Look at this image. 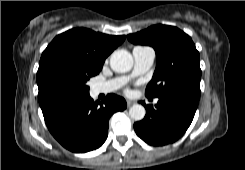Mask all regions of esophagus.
I'll list each match as a JSON object with an SVG mask.
<instances>
[{"instance_id": "obj_1", "label": "esophagus", "mask_w": 245, "mask_h": 170, "mask_svg": "<svg viewBox=\"0 0 245 170\" xmlns=\"http://www.w3.org/2000/svg\"><path fill=\"white\" fill-rule=\"evenodd\" d=\"M126 102H127V106L128 107H130L134 102L133 101H131V100H126Z\"/></svg>"}]
</instances>
